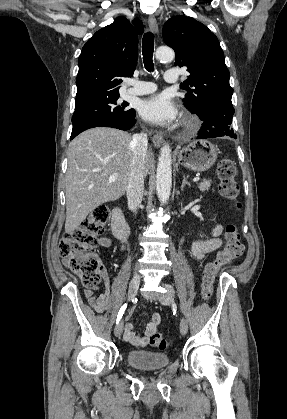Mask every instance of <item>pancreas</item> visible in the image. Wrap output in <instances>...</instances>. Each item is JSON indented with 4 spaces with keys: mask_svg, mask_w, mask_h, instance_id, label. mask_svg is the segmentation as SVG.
Listing matches in <instances>:
<instances>
[{
    "mask_svg": "<svg viewBox=\"0 0 287 419\" xmlns=\"http://www.w3.org/2000/svg\"><path fill=\"white\" fill-rule=\"evenodd\" d=\"M210 186H211V180H203V182L198 184V187L202 192L209 190Z\"/></svg>",
    "mask_w": 287,
    "mask_h": 419,
    "instance_id": "cf45deb5",
    "label": "pancreas"
}]
</instances>
